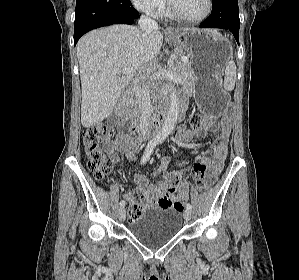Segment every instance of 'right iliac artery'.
<instances>
[{
	"mask_svg": "<svg viewBox=\"0 0 299 280\" xmlns=\"http://www.w3.org/2000/svg\"><path fill=\"white\" fill-rule=\"evenodd\" d=\"M157 144H158V140H157V139H153V140H151V141L148 143V145H147V147H146V149H145L144 155H143V157H142V159H141V163H142V164L146 163L147 160H149V158H150V156H151V154H152V152H153V149L155 148V146H156ZM120 206H121V207H124V206H125V201H124V200H122V201L120 202Z\"/></svg>",
	"mask_w": 299,
	"mask_h": 280,
	"instance_id": "obj_1",
	"label": "right iliac artery"
}]
</instances>
